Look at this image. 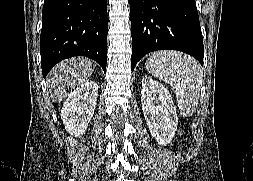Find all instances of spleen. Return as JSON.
Returning a JSON list of instances; mask_svg holds the SVG:
<instances>
[{
    "label": "spleen",
    "instance_id": "1",
    "mask_svg": "<svg viewBox=\"0 0 253 181\" xmlns=\"http://www.w3.org/2000/svg\"><path fill=\"white\" fill-rule=\"evenodd\" d=\"M146 69L154 77L170 83L181 113L190 116L198 104L202 85L200 64L192 57L176 51H160L149 56Z\"/></svg>",
    "mask_w": 253,
    "mask_h": 181
}]
</instances>
